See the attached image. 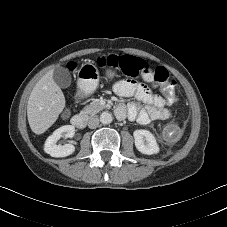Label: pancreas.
<instances>
[{
  "mask_svg": "<svg viewBox=\"0 0 227 227\" xmlns=\"http://www.w3.org/2000/svg\"><path fill=\"white\" fill-rule=\"evenodd\" d=\"M106 106L101 104L99 101H94L87 105L83 110L82 113L86 115H94L101 110H103Z\"/></svg>",
  "mask_w": 227,
  "mask_h": 227,
  "instance_id": "pancreas-1",
  "label": "pancreas"
}]
</instances>
